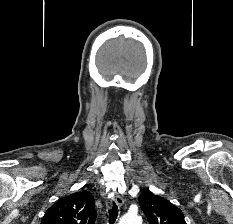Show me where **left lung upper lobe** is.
I'll return each instance as SVG.
<instances>
[{
	"mask_svg": "<svg viewBox=\"0 0 233 224\" xmlns=\"http://www.w3.org/2000/svg\"><path fill=\"white\" fill-rule=\"evenodd\" d=\"M139 203L149 224H186L182 211L160 196L144 192Z\"/></svg>",
	"mask_w": 233,
	"mask_h": 224,
	"instance_id": "1",
	"label": "left lung upper lobe"
}]
</instances>
